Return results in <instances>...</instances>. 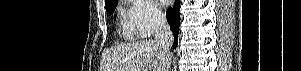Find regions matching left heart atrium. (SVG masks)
<instances>
[{"instance_id": "left-heart-atrium-1", "label": "left heart atrium", "mask_w": 301, "mask_h": 71, "mask_svg": "<svg viewBox=\"0 0 301 71\" xmlns=\"http://www.w3.org/2000/svg\"><path fill=\"white\" fill-rule=\"evenodd\" d=\"M161 3H162V4H166V1L162 0Z\"/></svg>"}]
</instances>
